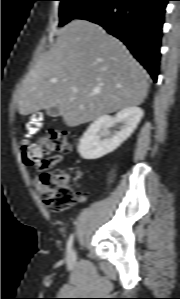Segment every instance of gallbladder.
Here are the masks:
<instances>
[{
  "label": "gallbladder",
  "mask_w": 180,
  "mask_h": 299,
  "mask_svg": "<svg viewBox=\"0 0 180 299\" xmlns=\"http://www.w3.org/2000/svg\"><path fill=\"white\" fill-rule=\"evenodd\" d=\"M46 114L50 117H57L60 115V110H59V107L58 106H54V107H51V108H48L46 110Z\"/></svg>",
  "instance_id": "1"
}]
</instances>
